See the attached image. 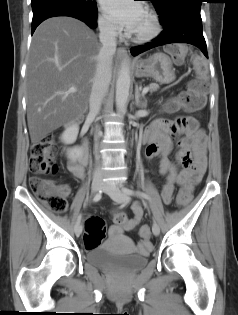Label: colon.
<instances>
[{
  "instance_id": "5ec220e1",
  "label": "colon",
  "mask_w": 238,
  "mask_h": 315,
  "mask_svg": "<svg viewBox=\"0 0 238 315\" xmlns=\"http://www.w3.org/2000/svg\"><path fill=\"white\" fill-rule=\"evenodd\" d=\"M167 52L177 63L184 61L188 55V48L179 44H169L166 46ZM193 64L196 69V81L186 91L180 93L170 100L169 109H186L189 111L201 110L206 104V75L207 66L204 60L198 56L193 57ZM57 151V144L53 135H47L36 142L30 152V170L33 176L29 180V186L36 197L42 201L49 209L57 213L67 210V200L60 192V187L53 181L40 178V175L55 173L57 166L54 158ZM192 199V188L182 189L176 197V204L180 207L187 205ZM128 221L127 216L122 213L114 215V222L124 226ZM84 244L85 247L93 248L98 246L105 234V223L99 217H91L86 221ZM150 228L144 225L140 229V235L144 239H149Z\"/></svg>"
}]
</instances>
